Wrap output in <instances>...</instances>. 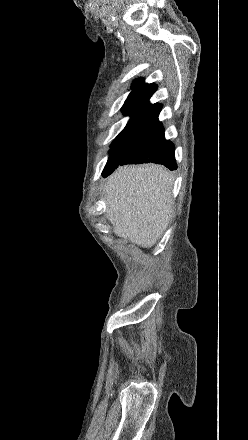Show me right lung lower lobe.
I'll return each instance as SVG.
<instances>
[{"mask_svg":"<svg viewBox=\"0 0 248 440\" xmlns=\"http://www.w3.org/2000/svg\"><path fill=\"white\" fill-rule=\"evenodd\" d=\"M174 150V145L164 137V128L157 115L128 138L120 165L151 162L175 170L177 165Z\"/></svg>","mask_w":248,"mask_h":440,"instance_id":"right-lung-lower-lobe-1","label":"right lung lower lobe"}]
</instances>
